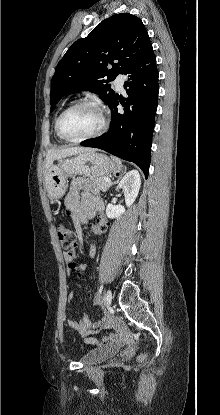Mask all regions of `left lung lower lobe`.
I'll list each match as a JSON object with an SVG mask.
<instances>
[{
  "label": "left lung lower lobe",
  "mask_w": 220,
  "mask_h": 415,
  "mask_svg": "<svg viewBox=\"0 0 220 415\" xmlns=\"http://www.w3.org/2000/svg\"><path fill=\"white\" fill-rule=\"evenodd\" d=\"M123 74L128 77L124 83V87H128V97L116 94L109 102L112 112L110 129L100 137L81 142V145L99 148L134 162L147 178L159 92L155 55ZM119 102L124 107L120 112L117 109Z\"/></svg>",
  "instance_id": "1"
}]
</instances>
